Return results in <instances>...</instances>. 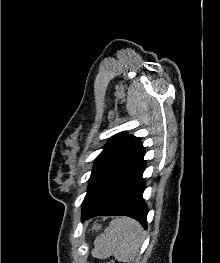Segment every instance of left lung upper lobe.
<instances>
[{
  "mask_svg": "<svg viewBox=\"0 0 220 263\" xmlns=\"http://www.w3.org/2000/svg\"><path fill=\"white\" fill-rule=\"evenodd\" d=\"M139 138L121 132L113 136L96 158L82 210L92 207L143 157Z\"/></svg>",
  "mask_w": 220,
  "mask_h": 263,
  "instance_id": "5c2ea615",
  "label": "left lung upper lobe"
}]
</instances>
